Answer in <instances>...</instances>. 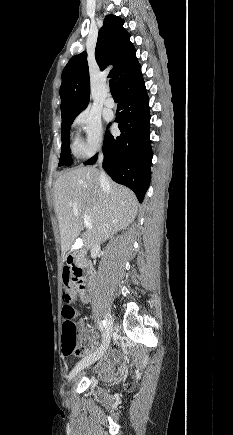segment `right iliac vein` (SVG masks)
<instances>
[{
    "mask_svg": "<svg viewBox=\"0 0 233 435\" xmlns=\"http://www.w3.org/2000/svg\"><path fill=\"white\" fill-rule=\"evenodd\" d=\"M113 323L114 320L111 315H107L106 317V328L104 331V338L101 346L98 350H96L93 354L83 358L78 364L75 366V368L71 371L69 380H71L74 376L77 375L78 372H80L82 369L90 366L97 360H99L102 355L104 354L105 350L109 347L110 339L113 333Z\"/></svg>",
    "mask_w": 233,
    "mask_h": 435,
    "instance_id": "1",
    "label": "right iliac vein"
}]
</instances>
